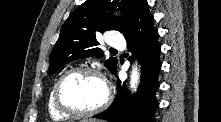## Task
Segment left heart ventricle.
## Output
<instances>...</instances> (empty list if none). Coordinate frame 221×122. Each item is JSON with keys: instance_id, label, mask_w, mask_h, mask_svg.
I'll use <instances>...</instances> for the list:
<instances>
[{"instance_id": "left-heart-ventricle-1", "label": "left heart ventricle", "mask_w": 221, "mask_h": 122, "mask_svg": "<svg viewBox=\"0 0 221 122\" xmlns=\"http://www.w3.org/2000/svg\"><path fill=\"white\" fill-rule=\"evenodd\" d=\"M104 97V83L92 74L74 75L65 82L62 88L63 101L79 110L97 107Z\"/></svg>"}]
</instances>
